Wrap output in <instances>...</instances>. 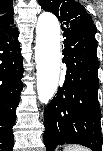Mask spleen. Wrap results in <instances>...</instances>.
Returning a JSON list of instances; mask_svg holds the SVG:
<instances>
[{"instance_id":"obj_1","label":"spleen","mask_w":103,"mask_h":151,"mask_svg":"<svg viewBox=\"0 0 103 151\" xmlns=\"http://www.w3.org/2000/svg\"><path fill=\"white\" fill-rule=\"evenodd\" d=\"M63 151H90V149L80 145H69Z\"/></svg>"}]
</instances>
